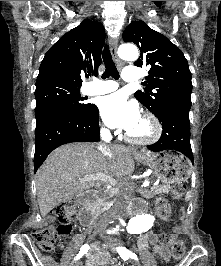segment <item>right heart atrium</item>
Listing matches in <instances>:
<instances>
[{
  "label": "right heart atrium",
  "mask_w": 221,
  "mask_h": 266,
  "mask_svg": "<svg viewBox=\"0 0 221 266\" xmlns=\"http://www.w3.org/2000/svg\"><path fill=\"white\" fill-rule=\"evenodd\" d=\"M101 132H102L103 134H108V133H109V130H108L106 127H102V128H101Z\"/></svg>",
  "instance_id": "d8ad5b80"
}]
</instances>
